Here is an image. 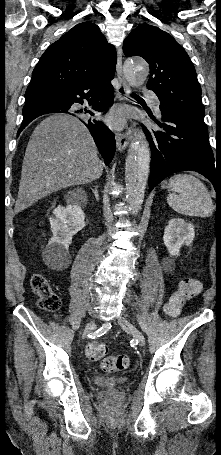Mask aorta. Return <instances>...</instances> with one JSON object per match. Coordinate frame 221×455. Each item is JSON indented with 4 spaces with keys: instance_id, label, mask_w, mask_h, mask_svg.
I'll use <instances>...</instances> for the list:
<instances>
[{
    "instance_id": "762f6f07",
    "label": "aorta",
    "mask_w": 221,
    "mask_h": 455,
    "mask_svg": "<svg viewBox=\"0 0 221 455\" xmlns=\"http://www.w3.org/2000/svg\"><path fill=\"white\" fill-rule=\"evenodd\" d=\"M123 72L130 85H142L149 75V67L143 59L129 58ZM149 172L150 147L144 134L138 133L131 141L125 164L126 197L136 213L143 203Z\"/></svg>"
}]
</instances>
